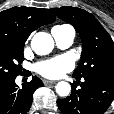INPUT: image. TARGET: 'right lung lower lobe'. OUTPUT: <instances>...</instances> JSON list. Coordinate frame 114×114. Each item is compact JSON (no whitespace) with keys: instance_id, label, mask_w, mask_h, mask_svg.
<instances>
[{"instance_id":"obj_1","label":"right lung lower lobe","mask_w":114,"mask_h":114,"mask_svg":"<svg viewBox=\"0 0 114 114\" xmlns=\"http://www.w3.org/2000/svg\"><path fill=\"white\" fill-rule=\"evenodd\" d=\"M41 86L43 83L36 76L22 84V88L15 84V78L0 81V114H27L33 93Z\"/></svg>"}]
</instances>
